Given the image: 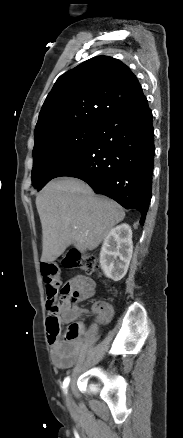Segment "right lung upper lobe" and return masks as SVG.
Here are the masks:
<instances>
[{
	"instance_id": "1",
	"label": "right lung upper lobe",
	"mask_w": 183,
	"mask_h": 438,
	"mask_svg": "<svg viewBox=\"0 0 183 438\" xmlns=\"http://www.w3.org/2000/svg\"><path fill=\"white\" fill-rule=\"evenodd\" d=\"M144 98L125 64L107 56L91 58L57 79L40 111L35 139L55 130L97 126Z\"/></svg>"
}]
</instances>
